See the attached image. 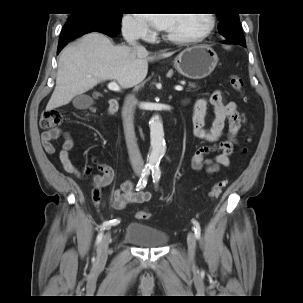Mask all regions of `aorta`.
<instances>
[{
    "label": "aorta",
    "instance_id": "obj_1",
    "mask_svg": "<svg viewBox=\"0 0 303 303\" xmlns=\"http://www.w3.org/2000/svg\"><path fill=\"white\" fill-rule=\"evenodd\" d=\"M150 139V152L147 162L150 166H155L159 164L166 152L163 125L158 115L153 116L150 121Z\"/></svg>",
    "mask_w": 303,
    "mask_h": 303
}]
</instances>
